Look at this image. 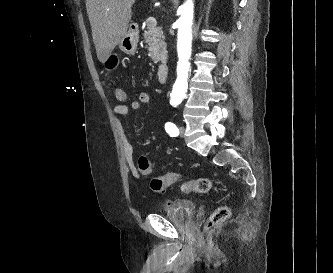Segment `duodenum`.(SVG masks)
<instances>
[{
  "label": "duodenum",
  "instance_id": "obj_1",
  "mask_svg": "<svg viewBox=\"0 0 333 273\" xmlns=\"http://www.w3.org/2000/svg\"><path fill=\"white\" fill-rule=\"evenodd\" d=\"M169 74V67L166 62H162L158 70V82L161 85L166 84Z\"/></svg>",
  "mask_w": 333,
  "mask_h": 273
}]
</instances>
